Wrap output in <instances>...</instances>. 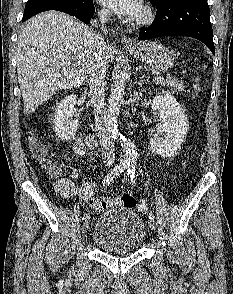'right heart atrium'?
<instances>
[{"label":"right heart atrium","instance_id":"obj_1","mask_svg":"<svg viewBox=\"0 0 233 294\" xmlns=\"http://www.w3.org/2000/svg\"><path fill=\"white\" fill-rule=\"evenodd\" d=\"M99 15H100L101 17H106V16L108 15V12H107V10H105V9H101V10L99 11Z\"/></svg>","mask_w":233,"mask_h":294}]
</instances>
